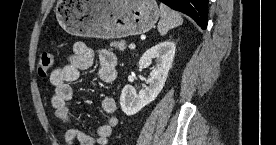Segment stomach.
Wrapping results in <instances>:
<instances>
[{"label":"stomach","instance_id":"stomach-1","mask_svg":"<svg viewBox=\"0 0 276 145\" xmlns=\"http://www.w3.org/2000/svg\"><path fill=\"white\" fill-rule=\"evenodd\" d=\"M159 16L155 0H60L56 6L59 24L80 37L115 39L143 34Z\"/></svg>","mask_w":276,"mask_h":145}]
</instances>
